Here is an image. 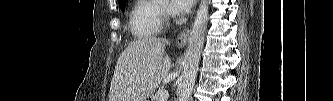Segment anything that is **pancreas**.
Masks as SVG:
<instances>
[{"label": "pancreas", "mask_w": 333, "mask_h": 101, "mask_svg": "<svg viewBox=\"0 0 333 101\" xmlns=\"http://www.w3.org/2000/svg\"><path fill=\"white\" fill-rule=\"evenodd\" d=\"M160 91H158L157 93H156V95L154 96V101H161V98H160V93H159Z\"/></svg>", "instance_id": "obj_1"}]
</instances>
